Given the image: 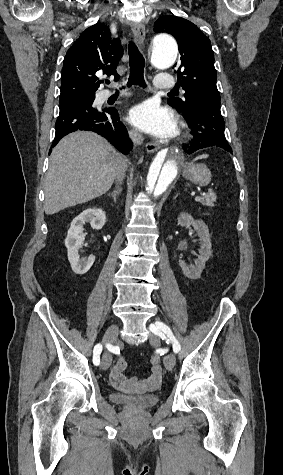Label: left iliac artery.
Listing matches in <instances>:
<instances>
[{
    "mask_svg": "<svg viewBox=\"0 0 283 475\" xmlns=\"http://www.w3.org/2000/svg\"><path fill=\"white\" fill-rule=\"evenodd\" d=\"M156 327L151 324L150 325V330L155 333V334H158L159 336H161V330L170 338V340L172 341L173 343V351L175 353L179 352L181 347H180V344L179 342L177 341V339L174 337L171 329L165 325L164 323L162 322H156L155 323Z\"/></svg>",
    "mask_w": 283,
    "mask_h": 475,
    "instance_id": "44dca946",
    "label": "left iliac artery"
}]
</instances>
